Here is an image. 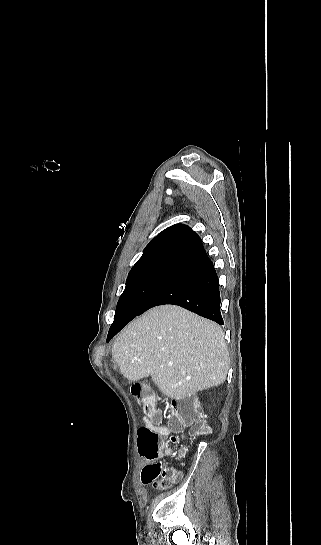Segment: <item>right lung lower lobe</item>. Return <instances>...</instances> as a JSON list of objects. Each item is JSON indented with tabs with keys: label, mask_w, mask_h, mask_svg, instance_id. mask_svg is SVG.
<instances>
[{
	"label": "right lung lower lobe",
	"mask_w": 321,
	"mask_h": 545,
	"mask_svg": "<svg viewBox=\"0 0 321 545\" xmlns=\"http://www.w3.org/2000/svg\"><path fill=\"white\" fill-rule=\"evenodd\" d=\"M220 302L218 277L212 261L203 250L176 268L135 316L123 322H113L107 341L136 316L163 304L179 305L218 324H223Z\"/></svg>",
	"instance_id": "obj_1"
}]
</instances>
